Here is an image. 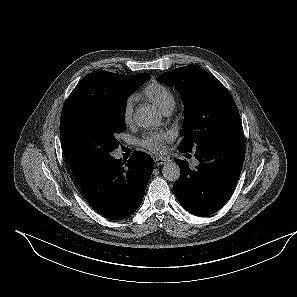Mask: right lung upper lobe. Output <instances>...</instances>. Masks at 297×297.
Returning a JSON list of instances; mask_svg holds the SVG:
<instances>
[{
    "label": "right lung upper lobe",
    "instance_id": "obj_1",
    "mask_svg": "<svg viewBox=\"0 0 297 297\" xmlns=\"http://www.w3.org/2000/svg\"><path fill=\"white\" fill-rule=\"evenodd\" d=\"M147 73L128 76L123 74L111 73L104 70H98L87 75L73 89L62 110L60 122L81 102L93 99H111L114 98L120 89L128 82L140 79ZM61 143L66 161L77 181L81 184L92 168L84 165L67 148L64 135L60 129Z\"/></svg>",
    "mask_w": 297,
    "mask_h": 297
}]
</instances>
